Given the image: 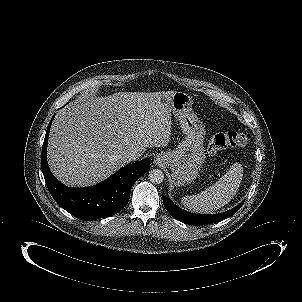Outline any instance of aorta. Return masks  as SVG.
I'll list each match as a JSON object with an SVG mask.
<instances>
[{
  "instance_id": "762f6f07",
  "label": "aorta",
  "mask_w": 302,
  "mask_h": 302,
  "mask_svg": "<svg viewBox=\"0 0 302 302\" xmlns=\"http://www.w3.org/2000/svg\"><path fill=\"white\" fill-rule=\"evenodd\" d=\"M149 180L153 184H160L164 181V173L160 169H153L149 171Z\"/></svg>"
}]
</instances>
